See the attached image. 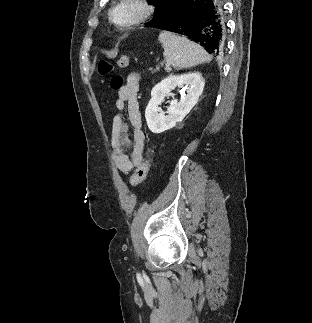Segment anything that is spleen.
<instances>
[{
	"label": "spleen",
	"mask_w": 312,
	"mask_h": 323,
	"mask_svg": "<svg viewBox=\"0 0 312 323\" xmlns=\"http://www.w3.org/2000/svg\"><path fill=\"white\" fill-rule=\"evenodd\" d=\"M163 46L164 58L167 64H172L174 68H192L203 62H210L211 56L203 50L202 46L190 42L186 36H179L174 32L162 30L158 38Z\"/></svg>",
	"instance_id": "obj_1"
}]
</instances>
